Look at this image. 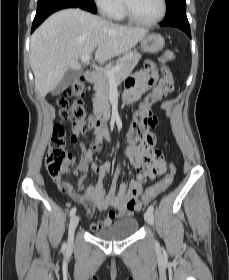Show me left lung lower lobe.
<instances>
[{
    "mask_svg": "<svg viewBox=\"0 0 229 280\" xmlns=\"http://www.w3.org/2000/svg\"><path fill=\"white\" fill-rule=\"evenodd\" d=\"M161 26L177 27L184 31L191 38L190 25L186 14H180L173 18L166 19L161 23Z\"/></svg>",
    "mask_w": 229,
    "mask_h": 280,
    "instance_id": "1",
    "label": "left lung lower lobe"
}]
</instances>
